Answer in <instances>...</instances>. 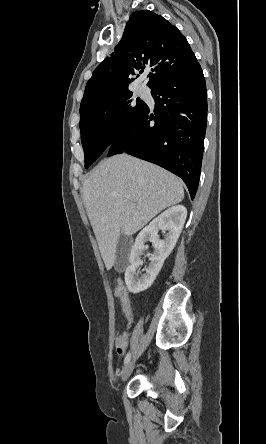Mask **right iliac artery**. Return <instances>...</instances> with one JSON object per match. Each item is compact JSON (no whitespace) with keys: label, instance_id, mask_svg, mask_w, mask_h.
I'll use <instances>...</instances> for the list:
<instances>
[{"label":"right iliac artery","instance_id":"1","mask_svg":"<svg viewBox=\"0 0 266 444\" xmlns=\"http://www.w3.org/2000/svg\"><path fill=\"white\" fill-rule=\"evenodd\" d=\"M130 358H131V354L127 353V355H126V357L124 359V365H126L130 361Z\"/></svg>","mask_w":266,"mask_h":444}]
</instances>
